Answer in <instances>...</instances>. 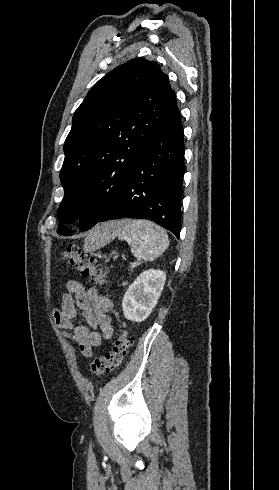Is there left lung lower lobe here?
Listing matches in <instances>:
<instances>
[{
    "instance_id": "0a47b994",
    "label": "left lung lower lobe",
    "mask_w": 279,
    "mask_h": 490,
    "mask_svg": "<svg viewBox=\"0 0 279 490\" xmlns=\"http://www.w3.org/2000/svg\"><path fill=\"white\" fill-rule=\"evenodd\" d=\"M184 151L182 122L176 107L148 138L124 179L114 207L100 221L148 219L179 238Z\"/></svg>"
}]
</instances>
